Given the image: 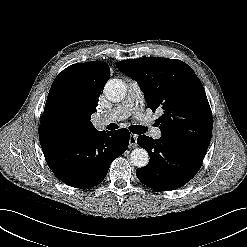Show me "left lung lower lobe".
I'll use <instances>...</instances> for the list:
<instances>
[{"label": "left lung lower lobe", "mask_w": 247, "mask_h": 247, "mask_svg": "<svg viewBox=\"0 0 247 247\" xmlns=\"http://www.w3.org/2000/svg\"><path fill=\"white\" fill-rule=\"evenodd\" d=\"M140 147L150 155L147 166L136 175L146 186L157 191L175 190L190 181L200 169L208 145L162 135L159 140L140 135Z\"/></svg>", "instance_id": "obj_1"}]
</instances>
